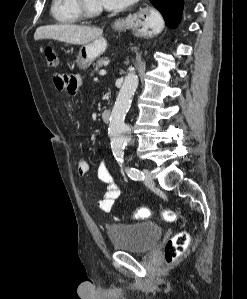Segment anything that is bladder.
I'll return each instance as SVG.
<instances>
[{
    "mask_svg": "<svg viewBox=\"0 0 247 299\" xmlns=\"http://www.w3.org/2000/svg\"><path fill=\"white\" fill-rule=\"evenodd\" d=\"M107 234L114 249L145 254L160 240L163 229L156 223L142 222L111 226Z\"/></svg>",
    "mask_w": 247,
    "mask_h": 299,
    "instance_id": "1",
    "label": "bladder"
}]
</instances>
